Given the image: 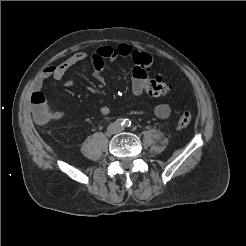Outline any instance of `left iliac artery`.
<instances>
[{
	"instance_id": "1",
	"label": "left iliac artery",
	"mask_w": 246,
	"mask_h": 246,
	"mask_svg": "<svg viewBox=\"0 0 246 246\" xmlns=\"http://www.w3.org/2000/svg\"><path fill=\"white\" fill-rule=\"evenodd\" d=\"M124 126L125 127H130L131 126V121L129 119H124Z\"/></svg>"
}]
</instances>
